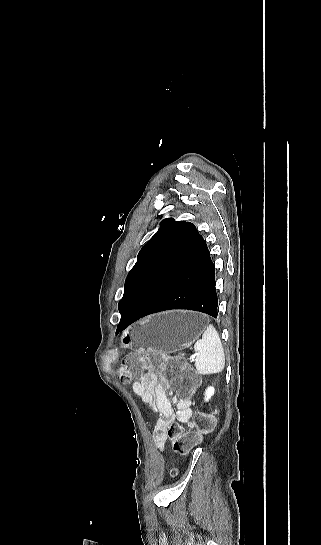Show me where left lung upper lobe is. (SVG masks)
I'll return each mask as SVG.
<instances>
[{
	"mask_svg": "<svg viewBox=\"0 0 321 545\" xmlns=\"http://www.w3.org/2000/svg\"><path fill=\"white\" fill-rule=\"evenodd\" d=\"M188 222L172 218L161 221V227L142 247L137 262L129 272L124 285V295L119 302L121 316L128 314L149 281L161 268Z\"/></svg>",
	"mask_w": 321,
	"mask_h": 545,
	"instance_id": "obj_1",
	"label": "left lung upper lobe"
}]
</instances>
